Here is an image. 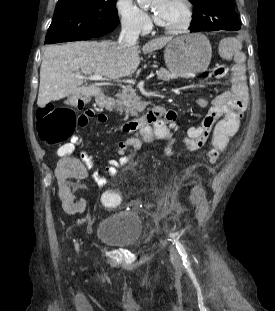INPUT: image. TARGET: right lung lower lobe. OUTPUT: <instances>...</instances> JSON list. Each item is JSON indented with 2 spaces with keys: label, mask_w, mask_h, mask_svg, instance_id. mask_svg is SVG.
<instances>
[{
  "label": "right lung lower lobe",
  "mask_w": 275,
  "mask_h": 311,
  "mask_svg": "<svg viewBox=\"0 0 275 311\" xmlns=\"http://www.w3.org/2000/svg\"><path fill=\"white\" fill-rule=\"evenodd\" d=\"M96 37H98V36L82 35V36H79V37H75V38L69 39L68 41L89 40V39H94Z\"/></svg>",
  "instance_id": "1"
}]
</instances>
